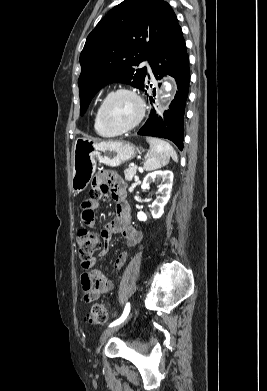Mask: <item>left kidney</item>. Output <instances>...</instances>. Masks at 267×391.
I'll return each mask as SVG.
<instances>
[{"label":"left kidney","mask_w":267,"mask_h":391,"mask_svg":"<svg viewBox=\"0 0 267 391\" xmlns=\"http://www.w3.org/2000/svg\"><path fill=\"white\" fill-rule=\"evenodd\" d=\"M173 173L170 170L155 171L146 175L141 185L142 189H147L151 182L161 180L156 200L151 205V214L154 219L160 218L164 213V207L168 203L173 186ZM139 221H146L147 216L144 212L140 211L137 214Z\"/></svg>","instance_id":"1"}]
</instances>
